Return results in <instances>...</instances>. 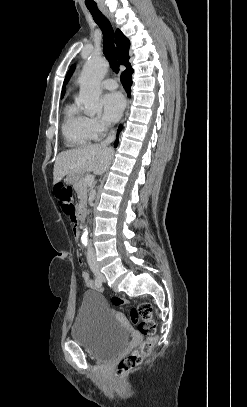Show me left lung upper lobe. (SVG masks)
<instances>
[{
	"mask_svg": "<svg viewBox=\"0 0 247 407\" xmlns=\"http://www.w3.org/2000/svg\"><path fill=\"white\" fill-rule=\"evenodd\" d=\"M74 70H75V65H73V66L70 68V70H69V72H68V74H67V76H66V78H65V81H64L65 84L68 82V80H69V78L71 77V75L73 74Z\"/></svg>",
	"mask_w": 247,
	"mask_h": 407,
	"instance_id": "obj_1",
	"label": "left lung upper lobe"
}]
</instances>
